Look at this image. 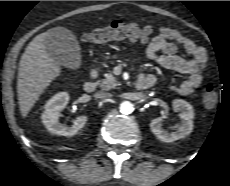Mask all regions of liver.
Returning <instances> with one entry per match:
<instances>
[{
  "label": "liver",
  "mask_w": 230,
  "mask_h": 186,
  "mask_svg": "<svg viewBox=\"0 0 230 186\" xmlns=\"http://www.w3.org/2000/svg\"><path fill=\"white\" fill-rule=\"evenodd\" d=\"M46 36L47 32L37 35L28 44L20 59L17 92L19 108L24 118L40 95L61 73L59 64L46 48Z\"/></svg>",
  "instance_id": "6515ba94"
}]
</instances>
